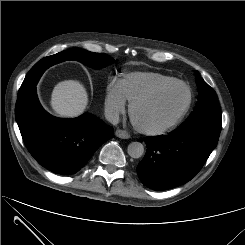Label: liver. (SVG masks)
I'll return each mask as SVG.
<instances>
[{
	"label": "liver",
	"mask_w": 245,
	"mask_h": 245,
	"mask_svg": "<svg viewBox=\"0 0 245 245\" xmlns=\"http://www.w3.org/2000/svg\"><path fill=\"white\" fill-rule=\"evenodd\" d=\"M51 107L60 117L74 118L81 115L88 105V94L78 80H64L55 85Z\"/></svg>",
	"instance_id": "1"
}]
</instances>
